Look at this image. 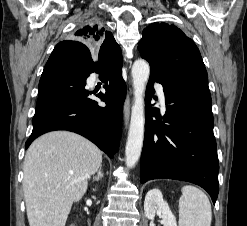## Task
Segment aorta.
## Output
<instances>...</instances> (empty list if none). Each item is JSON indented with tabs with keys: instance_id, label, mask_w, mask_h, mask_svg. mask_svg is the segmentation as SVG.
<instances>
[{
	"instance_id": "762f6f07",
	"label": "aorta",
	"mask_w": 247,
	"mask_h": 226,
	"mask_svg": "<svg viewBox=\"0 0 247 226\" xmlns=\"http://www.w3.org/2000/svg\"><path fill=\"white\" fill-rule=\"evenodd\" d=\"M150 75L147 61L138 59L132 66L134 103L131 112V122L126 143V165L132 168L140 158L144 138V93Z\"/></svg>"
}]
</instances>
